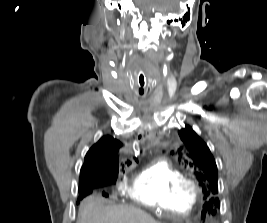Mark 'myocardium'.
Masks as SVG:
<instances>
[{"label": "myocardium", "instance_id": "myocardium-1", "mask_svg": "<svg viewBox=\"0 0 267 223\" xmlns=\"http://www.w3.org/2000/svg\"><path fill=\"white\" fill-rule=\"evenodd\" d=\"M183 188L186 193H188L190 196L194 197L195 199L201 196L202 194V188L199 185L198 182L192 179H186L183 182Z\"/></svg>", "mask_w": 267, "mask_h": 223}]
</instances>
